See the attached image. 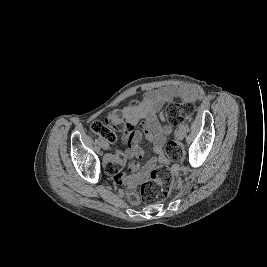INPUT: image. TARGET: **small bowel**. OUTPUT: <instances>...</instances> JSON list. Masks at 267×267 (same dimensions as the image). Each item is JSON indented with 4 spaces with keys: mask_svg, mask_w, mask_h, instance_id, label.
I'll return each mask as SVG.
<instances>
[{
    "mask_svg": "<svg viewBox=\"0 0 267 267\" xmlns=\"http://www.w3.org/2000/svg\"><path fill=\"white\" fill-rule=\"evenodd\" d=\"M196 93L197 88L192 85L151 91L147 93L142 103L127 110V114L129 116L139 113L146 118V123L143 130L147 139L155 144V148L159 152L158 161L161 164L169 163V158L161 152V147L164 142V130L159 125L157 118V113L160 110L161 104L170 100L174 96H181L185 99L190 97L194 98ZM149 167L150 165L147 166L146 171H148ZM116 176L121 181L127 180L126 176L119 171L116 173Z\"/></svg>",
    "mask_w": 267,
    "mask_h": 267,
    "instance_id": "c3829d8e",
    "label": "small bowel"
}]
</instances>
